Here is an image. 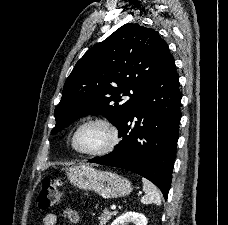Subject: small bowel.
Returning <instances> with one entry per match:
<instances>
[{
	"instance_id": "1",
	"label": "small bowel",
	"mask_w": 228,
	"mask_h": 225,
	"mask_svg": "<svg viewBox=\"0 0 228 225\" xmlns=\"http://www.w3.org/2000/svg\"><path fill=\"white\" fill-rule=\"evenodd\" d=\"M64 214L66 218L74 224L80 220L78 213L71 208H66ZM57 221L58 219L55 213H47L42 219V225H57Z\"/></svg>"
}]
</instances>
